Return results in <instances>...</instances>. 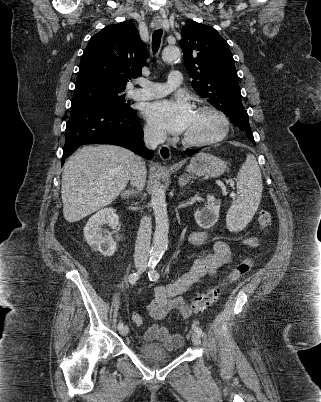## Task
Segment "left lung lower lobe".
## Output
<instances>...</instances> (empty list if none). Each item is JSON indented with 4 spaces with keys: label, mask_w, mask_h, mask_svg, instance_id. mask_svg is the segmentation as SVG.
Segmentation results:
<instances>
[{
    "label": "left lung lower lobe",
    "mask_w": 321,
    "mask_h": 402,
    "mask_svg": "<svg viewBox=\"0 0 321 402\" xmlns=\"http://www.w3.org/2000/svg\"><path fill=\"white\" fill-rule=\"evenodd\" d=\"M252 142H253V144H255V141H252ZM199 150L200 149H193V150H186L185 152L188 156H191L192 154H194L195 152H198Z\"/></svg>",
    "instance_id": "obj_1"
}]
</instances>
